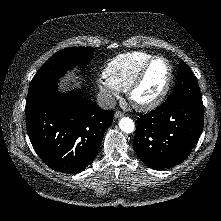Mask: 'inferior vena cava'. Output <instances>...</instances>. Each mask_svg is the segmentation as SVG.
<instances>
[{
  "label": "inferior vena cava",
  "mask_w": 221,
  "mask_h": 221,
  "mask_svg": "<svg viewBox=\"0 0 221 221\" xmlns=\"http://www.w3.org/2000/svg\"><path fill=\"white\" fill-rule=\"evenodd\" d=\"M97 104L104 110H111L116 106V99L111 93L107 91H101L97 95Z\"/></svg>",
  "instance_id": "inferior-vena-cava-1"
}]
</instances>
